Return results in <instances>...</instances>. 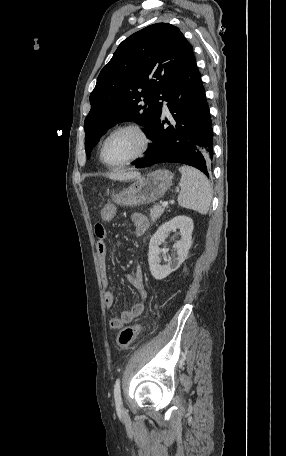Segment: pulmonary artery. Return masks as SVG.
Wrapping results in <instances>:
<instances>
[{
	"label": "pulmonary artery",
	"instance_id": "1",
	"mask_svg": "<svg viewBox=\"0 0 286 456\" xmlns=\"http://www.w3.org/2000/svg\"><path fill=\"white\" fill-rule=\"evenodd\" d=\"M163 111L164 113L168 114V108L165 104H163Z\"/></svg>",
	"mask_w": 286,
	"mask_h": 456
}]
</instances>
